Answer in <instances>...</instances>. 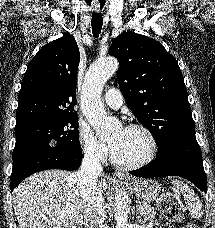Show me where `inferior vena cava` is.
<instances>
[{
  "mask_svg": "<svg viewBox=\"0 0 215 228\" xmlns=\"http://www.w3.org/2000/svg\"><path fill=\"white\" fill-rule=\"evenodd\" d=\"M102 172L103 168L99 154L92 150V148H87L84 152L80 170L77 174H74L76 188L81 196H83L85 204H90L95 210V214H91L89 208L86 210L84 214L86 228H104L105 206L103 190L98 184L99 176Z\"/></svg>",
  "mask_w": 215,
  "mask_h": 228,
  "instance_id": "obj_1",
  "label": "inferior vena cava"
}]
</instances>
